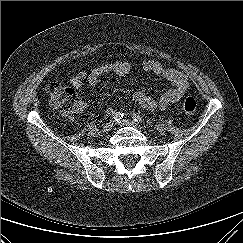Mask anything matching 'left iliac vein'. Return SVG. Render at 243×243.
<instances>
[{"instance_id": "obj_1", "label": "left iliac vein", "mask_w": 243, "mask_h": 243, "mask_svg": "<svg viewBox=\"0 0 243 243\" xmlns=\"http://www.w3.org/2000/svg\"><path fill=\"white\" fill-rule=\"evenodd\" d=\"M117 124H119L121 126H131V127H134V128H136L140 131L143 130V127L140 124H138L134 121L128 120V119H123V120L117 122Z\"/></svg>"}]
</instances>
